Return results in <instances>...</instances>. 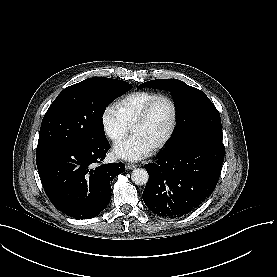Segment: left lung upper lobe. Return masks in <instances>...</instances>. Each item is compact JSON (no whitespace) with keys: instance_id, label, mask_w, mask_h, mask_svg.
Wrapping results in <instances>:
<instances>
[{"instance_id":"obj_1","label":"left lung upper lobe","mask_w":277,"mask_h":277,"mask_svg":"<svg viewBox=\"0 0 277 277\" xmlns=\"http://www.w3.org/2000/svg\"><path fill=\"white\" fill-rule=\"evenodd\" d=\"M141 87L167 89L176 101L177 125L172 138L162 152L170 151L184 143L193 135L207 131L215 134H222L220 114L209 98L199 89L185 84L177 79H157L142 83ZM203 160L223 164L224 152L211 149L209 153L202 152ZM180 171L189 177L207 175L204 172H197V162L193 159H186L180 162ZM219 176L209 177V181H217Z\"/></svg>"}]
</instances>
